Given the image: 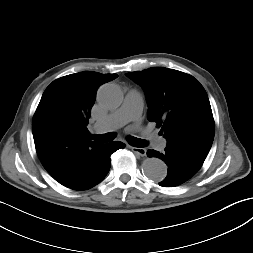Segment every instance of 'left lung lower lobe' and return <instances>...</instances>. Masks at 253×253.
<instances>
[{"mask_svg": "<svg viewBox=\"0 0 253 253\" xmlns=\"http://www.w3.org/2000/svg\"><path fill=\"white\" fill-rule=\"evenodd\" d=\"M147 155L158 157L168 166L166 178L159 183L163 187H174L190 179L201 168L205 156L167 146L164 153L148 150Z\"/></svg>", "mask_w": 253, "mask_h": 253, "instance_id": "left-lung-lower-lobe-1", "label": "left lung lower lobe"}]
</instances>
